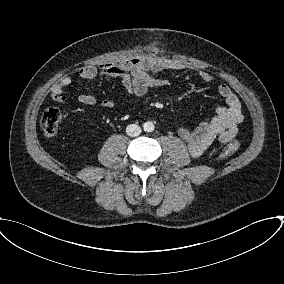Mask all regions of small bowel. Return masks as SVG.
I'll return each instance as SVG.
<instances>
[{"label": "small bowel", "mask_w": 284, "mask_h": 284, "mask_svg": "<svg viewBox=\"0 0 284 284\" xmlns=\"http://www.w3.org/2000/svg\"><path fill=\"white\" fill-rule=\"evenodd\" d=\"M181 69L180 65L167 59L143 56L115 63H106L99 67L88 65L79 68L76 77L83 80L107 79L118 77L130 96H143L151 88L165 87L168 80L151 76L149 73H158L166 70ZM200 78L205 84L214 82V77L201 72ZM70 75L64 76L51 88L52 99L60 104L68 101L63 94L64 90L72 83ZM219 96L224 100V105L215 108V115L201 122L195 128L182 127L178 130L180 138L186 142L188 151L193 158H198L215 142L226 144L233 140L238 133L239 125L244 120L242 105L237 95L225 84L217 87ZM80 104L89 106L96 102L94 95L81 94L78 98ZM115 100H104L102 105L111 108Z\"/></svg>", "instance_id": "c3829d8e"}]
</instances>
